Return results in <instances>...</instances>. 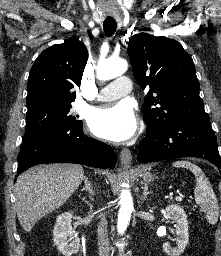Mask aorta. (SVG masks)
<instances>
[{"instance_id":"1","label":"aorta","mask_w":221,"mask_h":256,"mask_svg":"<svg viewBox=\"0 0 221 256\" xmlns=\"http://www.w3.org/2000/svg\"><path fill=\"white\" fill-rule=\"evenodd\" d=\"M127 68L128 64L124 59H106L97 65V78L102 81L110 80L124 74ZM119 198L117 230L119 234H123L130 222L133 199L131 192L127 189L121 191Z\"/></svg>"}]
</instances>
